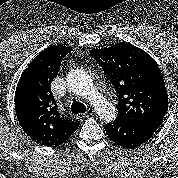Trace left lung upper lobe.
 <instances>
[{
    "label": "left lung upper lobe",
    "instance_id": "5c2ea615",
    "mask_svg": "<svg viewBox=\"0 0 178 178\" xmlns=\"http://www.w3.org/2000/svg\"><path fill=\"white\" fill-rule=\"evenodd\" d=\"M90 53L118 93L116 119L161 125L168 110V94L155 60L126 42Z\"/></svg>",
    "mask_w": 178,
    "mask_h": 178
}]
</instances>
